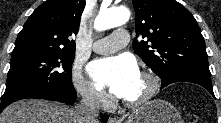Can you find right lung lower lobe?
Returning <instances> with one entry per match:
<instances>
[{"instance_id":"right-lung-lower-lobe-1","label":"right lung lower lobe","mask_w":221,"mask_h":123,"mask_svg":"<svg viewBox=\"0 0 221 123\" xmlns=\"http://www.w3.org/2000/svg\"><path fill=\"white\" fill-rule=\"evenodd\" d=\"M76 97L77 95L73 85L68 86L65 84H57L45 89H37L34 84L22 85L5 90L0 105V113L6 106L21 99L41 98L45 100L59 101L66 104H73ZM107 119V115L102 116V120L104 122L107 121Z\"/></svg>"}]
</instances>
